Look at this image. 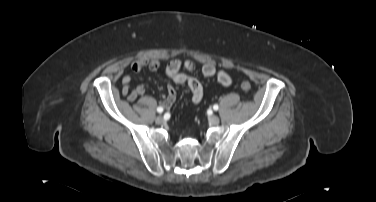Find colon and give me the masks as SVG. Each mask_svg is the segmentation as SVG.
Listing matches in <instances>:
<instances>
[{
  "label": "colon",
  "mask_w": 376,
  "mask_h": 202,
  "mask_svg": "<svg viewBox=\"0 0 376 202\" xmlns=\"http://www.w3.org/2000/svg\"><path fill=\"white\" fill-rule=\"evenodd\" d=\"M241 89L243 90V92L248 93V92L251 91L252 86H251L250 82H248V81H243V82L241 83Z\"/></svg>",
  "instance_id": "colon-1"
}]
</instances>
